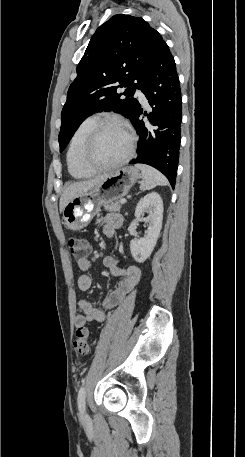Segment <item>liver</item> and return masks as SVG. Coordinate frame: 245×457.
I'll return each instance as SVG.
<instances>
[{
  "label": "liver",
  "mask_w": 245,
  "mask_h": 457,
  "mask_svg": "<svg viewBox=\"0 0 245 457\" xmlns=\"http://www.w3.org/2000/svg\"><path fill=\"white\" fill-rule=\"evenodd\" d=\"M108 174H101V176H96V178H90V180H80V182H73V184H69L66 190H64L63 194H61L60 198V212H62L65 204L70 202L72 198H75L77 194H81V192H86L95 184H99L102 180H105Z\"/></svg>",
  "instance_id": "6515ba94"
}]
</instances>
